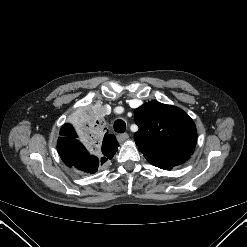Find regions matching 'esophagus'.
<instances>
[{
  "instance_id": "34e87169",
  "label": "esophagus",
  "mask_w": 247,
  "mask_h": 247,
  "mask_svg": "<svg viewBox=\"0 0 247 247\" xmlns=\"http://www.w3.org/2000/svg\"><path fill=\"white\" fill-rule=\"evenodd\" d=\"M128 138H129V135L127 133H122V134L117 135V139L120 142H123V141H125Z\"/></svg>"
}]
</instances>
